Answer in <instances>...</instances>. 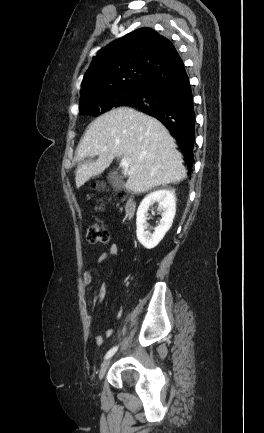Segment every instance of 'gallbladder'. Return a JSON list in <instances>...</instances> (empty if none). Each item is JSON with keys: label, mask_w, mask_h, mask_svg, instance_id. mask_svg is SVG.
Segmentation results:
<instances>
[{"label": "gallbladder", "mask_w": 264, "mask_h": 433, "mask_svg": "<svg viewBox=\"0 0 264 433\" xmlns=\"http://www.w3.org/2000/svg\"><path fill=\"white\" fill-rule=\"evenodd\" d=\"M108 179L115 188L121 189L124 187L116 172H111L108 176Z\"/></svg>", "instance_id": "obj_1"}]
</instances>
